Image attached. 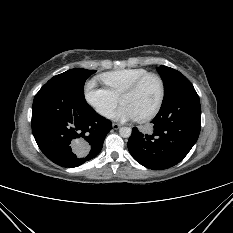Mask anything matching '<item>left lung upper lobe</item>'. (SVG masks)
Wrapping results in <instances>:
<instances>
[{
	"label": "left lung upper lobe",
	"mask_w": 233,
	"mask_h": 233,
	"mask_svg": "<svg viewBox=\"0 0 233 233\" xmlns=\"http://www.w3.org/2000/svg\"><path fill=\"white\" fill-rule=\"evenodd\" d=\"M157 71L161 75V78L164 83V98H163V102H164L172 93L177 82L185 76H183L179 71L163 65L158 67Z\"/></svg>",
	"instance_id": "1"
}]
</instances>
